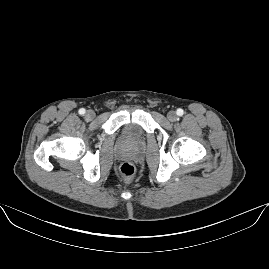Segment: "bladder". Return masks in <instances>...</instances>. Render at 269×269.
<instances>
[{"mask_svg": "<svg viewBox=\"0 0 269 269\" xmlns=\"http://www.w3.org/2000/svg\"><path fill=\"white\" fill-rule=\"evenodd\" d=\"M142 127L138 124V123H135V122H131L129 124V127L126 131V135H125V138L130 141L136 137H139L141 136L142 134Z\"/></svg>", "mask_w": 269, "mask_h": 269, "instance_id": "31cf9c89", "label": "bladder"}]
</instances>
